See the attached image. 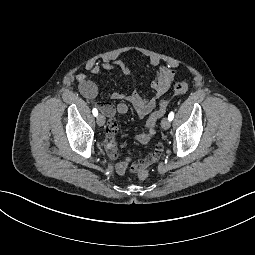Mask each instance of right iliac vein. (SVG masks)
I'll use <instances>...</instances> for the list:
<instances>
[{"instance_id":"obj_1","label":"right iliac vein","mask_w":255,"mask_h":255,"mask_svg":"<svg viewBox=\"0 0 255 255\" xmlns=\"http://www.w3.org/2000/svg\"><path fill=\"white\" fill-rule=\"evenodd\" d=\"M104 123H105V117H104L102 114H99V115L97 116V124H98L99 126H103Z\"/></svg>"}]
</instances>
